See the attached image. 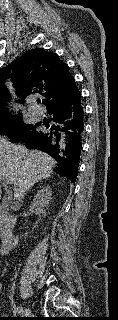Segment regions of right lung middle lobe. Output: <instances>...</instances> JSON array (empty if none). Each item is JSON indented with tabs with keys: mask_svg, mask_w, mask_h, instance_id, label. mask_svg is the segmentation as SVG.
I'll use <instances>...</instances> for the list:
<instances>
[{
	"mask_svg": "<svg viewBox=\"0 0 118 320\" xmlns=\"http://www.w3.org/2000/svg\"><path fill=\"white\" fill-rule=\"evenodd\" d=\"M37 128V124H26L21 117L7 116L0 118V134L9 135L13 142H18L20 139L27 137Z\"/></svg>",
	"mask_w": 118,
	"mask_h": 320,
	"instance_id": "right-lung-middle-lobe-1",
	"label": "right lung middle lobe"
}]
</instances>
